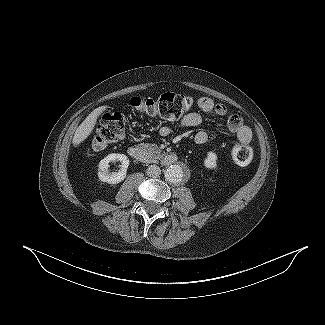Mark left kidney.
Masks as SVG:
<instances>
[{
    "label": "left kidney",
    "mask_w": 325,
    "mask_h": 325,
    "mask_svg": "<svg viewBox=\"0 0 325 325\" xmlns=\"http://www.w3.org/2000/svg\"><path fill=\"white\" fill-rule=\"evenodd\" d=\"M204 165L208 169H216L217 168V155L214 152H208L207 156L204 160Z\"/></svg>",
    "instance_id": "obj_1"
}]
</instances>
